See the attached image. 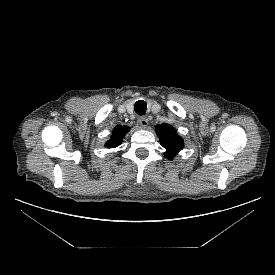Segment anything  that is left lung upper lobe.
Segmentation results:
<instances>
[{
    "instance_id": "1",
    "label": "left lung upper lobe",
    "mask_w": 275,
    "mask_h": 275,
    "mask_svg": "<svg viewBox=\"0 0 275 275\" xmlns=\"http://www.w3.org/2000/svg\"><path fill=\"white\" fill-rule=\"evenodd\" d=\"M156 132L161 145L166 149V157L172 159L184 147L183 139L169 124L163 123L156 126Z\"/></svg>"
}]
</instances>
